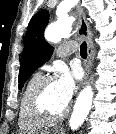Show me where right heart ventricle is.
<instances>
[{
	"mask_svg": "<svg viewBox=\"0 0 116 134\" xmlns=\"http://www.w3.org/2000/svg\"><path fill=\"white\" fill-rule=\"evenodd\" d=\"M42 77L41 73H34L27 81L20 97L18 125L24 132L35 133L42 130L47 125L46 121L36 118L31 113L28 105L29 95Z\"/></svg>",
	"mask_w": 116,
	"mask_h": 134,
	"instance_id": "1",
	"label": "right heart ventricle"
}]
</instances>
